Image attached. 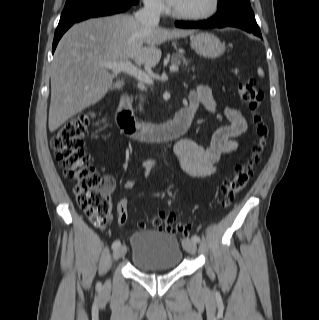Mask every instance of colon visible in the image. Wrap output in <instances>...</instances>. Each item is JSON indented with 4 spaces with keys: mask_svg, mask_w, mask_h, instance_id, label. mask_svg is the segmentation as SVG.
Masks as SVG:
<instances>
[{
    "mask_svg": "<svg viewBox=\"0 0 319 320\" xmlns=\"http://www.w3.org/2000/svg\"><path fill=\"white\" fill-rule=\"evenodd\" d=\"M241 99L253 112L257 139L251 147L250 157L238 166L234 175L221 187L220 196L224 206L234 201L235 195L249 182L253 167L264 152L268 137V127L259 112L263 93L254 79H247L239 84ZM95 114H79L64 123L56 132L51 146L66 174L75 181V195L78 205L90 222L96 226L109 223L111 219L110 193L114 189L109 176L100 175L83 149V141L88 135L89 125ZM127 222V213L118 214V223ZM153 226L160 230L176 233L182 237L189 235V226L174 214H158L152 220ZM141 227L144 224H140Z\"/></svg>",
    "mask_w": 319,
    "mask_h": 320,
    "instance_id": "obj_1",
    "label": "colon"
}]
</instances>
